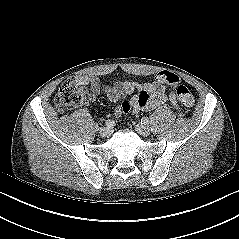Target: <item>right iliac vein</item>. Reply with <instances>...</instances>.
Returning <instances> with one entry per match:
<instances>
[{
	"mask_svg": "<svg viewBox=\"0 0 239 239\" xmlns=\"http://www.w3.org/2000/svg\"><path fill=\"white\" fill-rule=\"evenodd\" d=\"M99 132H100L101 136L109 137L111 135L112 131L108 127H102V128H100Z\"/></svg>",
	"mask_w": 239,
	"mask_h": 239,
	"instance_id": "63e3f726",
	"label": "right iliac vein"
}]
</instances>
